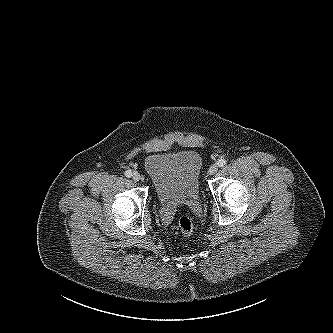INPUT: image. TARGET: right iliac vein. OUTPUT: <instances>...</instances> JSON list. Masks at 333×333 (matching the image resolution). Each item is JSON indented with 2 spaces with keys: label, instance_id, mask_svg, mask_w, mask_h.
Here are the masks:
<instances>
[{
  "label": "right iliac vein",
  "instance_id": "obj_1",
  "mask_svg": "<svg viewBox=\"0 0 333 333\" xmlns=\"http://www.w3.org/2000/svg\"><path fill=\"white\" fill-rule=\"evenodd\" d=\"M132 179L135 181V182H138L140 179H141V176L138 172H134L132 174Z\"/></svg>",
  "mask_w": 333,
  "mask_h": 333
}]
</instances>
